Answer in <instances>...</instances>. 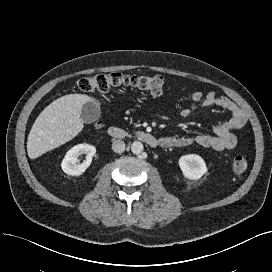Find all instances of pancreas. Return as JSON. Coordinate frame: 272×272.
Instances as JSON below:
<instances>
[{"instance_id": "obj_1", "label": "pancreas", "mask_w": 272, "mask_h": 272, "mask_svg": "<svg viewBox=\"0 0 272 272\" xmlns=\"http://www.w3.org/2000/svg\"><path fill=\"white\" fill-rule=\"evenodd\" d=\"M135 134H138L139 132L137 131V132H134ZM128 136H131V135H129V134H127Z\"/></svg>"}]
</instances>
